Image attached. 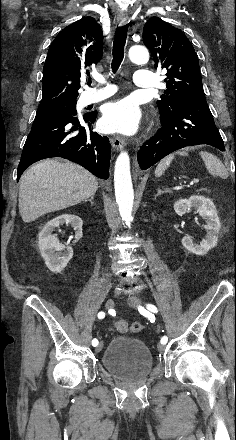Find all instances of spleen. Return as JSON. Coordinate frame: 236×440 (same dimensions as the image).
<instances>
[{"mask_svg":"<svg viewBox=\"0 0 236 440\" xmlns=\"http://www.w3.org/2000/svg\"><path fill=\"white\" fill-rule=\"evenodd\" d=\"M199 154L203 159L205 166L210 174L214 176H219L224 179L227 178L228 174L226 168L224 167L222 162L217 159V157L206 151H201ZM173 158L174 155H169L160 161L155 170L156 177H160L165 172V170L170 166Z\"/></svg>","mask_w":236,"mask_h":440,"instance_id":"spleen-1","label":"spleen"}]
</instances>
